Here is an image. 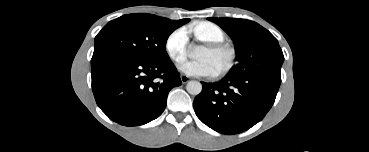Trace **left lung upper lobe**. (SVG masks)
<instances>
[{"instance_id":"left-lung-upper-lobe-1","label":"left lung upper lobe","mask_w":369,"mask_h":152,"mask_svg":"<svg viewBox=\"0 0 369 152\" xmlns=\"http://www.w3.org/2000/svg\"><path fill=\"white\" fill-rule=\"evenodd\" d=\"M232 38L238 63L230 75H270L281 78L284 61L277 39L256 22L235 18H208Z\"/></svg>"}]
</instances>
